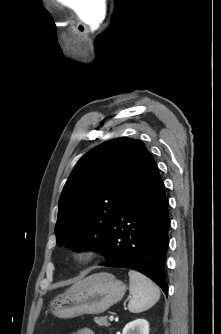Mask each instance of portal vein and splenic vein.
Returning <instances> with one entry per match:
<instances>
[{"mask_svg":"<svg viewBox=\"0 0 221 334\" xmlns=\"http://www.w3.org/2000/svg\"><path fill=\"white\" fill-rule=\"evenodd\" d=\"M109 320H110V321H113V320H114V316L111 315V316L109 317Z\"/></svg>","mask_w":221,"mask_h":334,"instance_id":"1","label":"portal vein and splenic vein"}]
</instances>
